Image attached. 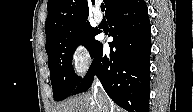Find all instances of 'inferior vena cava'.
<instances>
[{"instance_id": "1", "label": "inferior vena cava", "mask_w": 193, "mask_h": 112, "mask_svg": "<svg viewBox=\"0 0 193 112\" xmlns=\"http://www.w3.org/2000/svg\"><path fill=\"white\" fill-rule=\"evenodd\" d=\"M93 95L99 107L102 109L101 111L109 112V106L107 103V98H106L104 89L98 81L95 82Z\"/></svg>"}]
</instances>
